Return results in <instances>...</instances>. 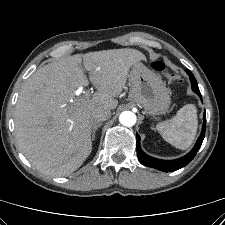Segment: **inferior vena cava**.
Listing matches in <instances>:
<instances>
[{
  "instance_id": "602c4592",
  "label": "inferior vena cava",
  "mask_w": 225,
  "mask_h": 225,
  "mask_svg": "<svg viewBox=\"0 0 225 225\" xmlns=\"http://www.w3.org/2000/svg\"><path fill=\"white\" fill-rule=\"evenodd\" d=\"M111 116L110 109L106 107H95L91 110V119L94 124L105 121Z\"/></svg>"
}]
</instances>
